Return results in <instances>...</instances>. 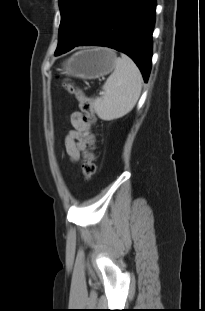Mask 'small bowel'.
<instances>
[{
	"mask_svg": "<svg viewBox=\"0 0 205 311\" xmlns=\"http://www.w3.org/2000/svg\"><path fill=\"white\" fill-rule=\"evenodd\" d=\"M72 129L64 139V146L67 155L71 160H78L85 145L93 137L89 134L90 128L83 122V116L80 112H73L69 116Z\"/></svg>",
	"mask_w": 205,
	"mask_h": 311,
	"instance_id": "1",
	"label": "small bowel"
}]
</instances>
